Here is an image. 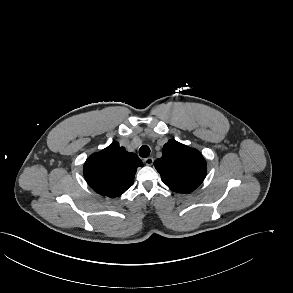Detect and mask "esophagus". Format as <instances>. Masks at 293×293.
<instances>
[{"mask_svg": "<svg viewBox=\"0 0 293 293\" xmlns=\"http://www.w3.org/2000/svg\"><path fill=\"white\" fill-rule=\"evenodd\" d=\"M153 158L152 157H148V158H145L144 159V163L148 166L152 165L153 164Z\"/></svg>", "mask_w": 293, "mask_h": 293, "instance_id": "34e87169", "label": "esophagus"}]
</instances>
